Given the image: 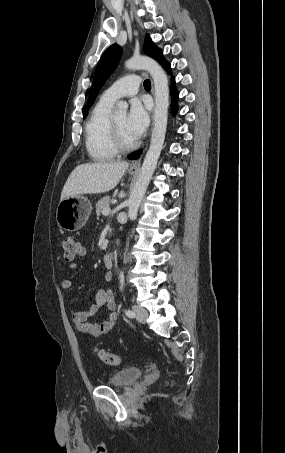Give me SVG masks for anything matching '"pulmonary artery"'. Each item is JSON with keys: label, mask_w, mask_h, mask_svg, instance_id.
Returning a JSON list of instances; mask_svg holds the SVG:
<instances>
[{"label": "pulmonary artery", "mask_w": 285, "mask_h": 453, "mask_svg": "<svg viewBox=\"0 0 285 453\" xmlns=\"http://www.w3.org/2000/svg\"><path fill=\"white\" fill-rule=\"evenodd\" d=\"M140 85V77L136 74L126 75L114 82L104 91L101 99L115 103L118 99L137 93Z\"/></svg>", "instance_id": "pulmonary-artery-1"}]
</instances>
